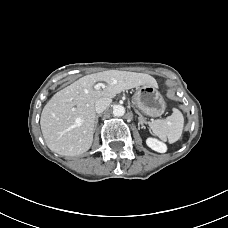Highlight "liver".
<instances>
[{"instance_id":"obj_1","label":"liver","mask_w":228,"mask_h":228,"mask_svg":"<svg viewBox=\"0 0 228 228\" xmlns=\"http://www.w3.org/2000/svg\"><path fill=\"white\" fill-rule=\"evenodd\" d=\"M105 82L103 89L94 88ZM157 81L145 73L108 70L80 78L57 92L44 106L40 125L48 148L63 156H76L88 151L93 142L96 120L95 104L103 98Z\"/></svg>"}]
</instances>
